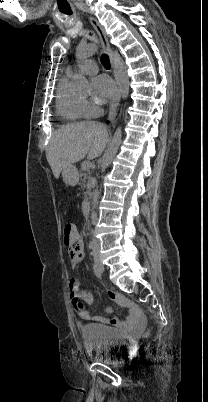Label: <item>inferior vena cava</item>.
<instances>
[{
  "instance_id": "obj_1",
  "label": "inferior vena cava",
  "mask_w": 208,
  "mask_h": 402,
  "mask_svg": "<svg viewBox=\"0 0 208 402\" xmlns=\"http://www.w3.org/2000/svg\"><path fill=\"white\" fill-rule=\"evenodd\" d=\"M93 246H98V242L93 234V242H92Z\"/></svg>"
}]
</instances>
